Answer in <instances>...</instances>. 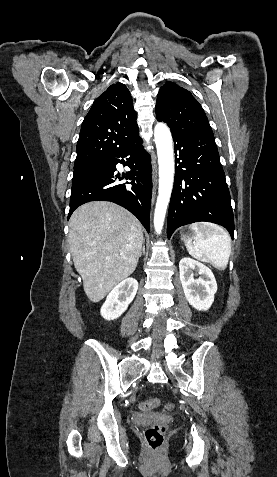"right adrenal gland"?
Here are the masks:
<instances>
[{"label":"right adrenal gland","instance_id":"1","mask_svg":"<svg viewBox=\"0 0 277 477\" xmlns=\"http://www.w3.org/2000/svg\"><path fill=\"white\" fill-rule=\"evenodd\" d=\"M142 254H145V242H144V241H143V246H142V250H141L140 256H141Z\"/></svg>","mask_w":277,"mask_h":477}]
</instances>
